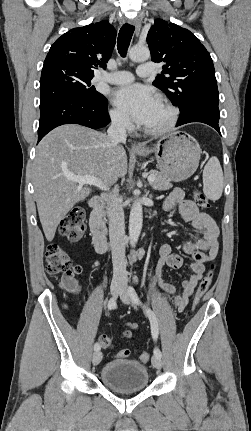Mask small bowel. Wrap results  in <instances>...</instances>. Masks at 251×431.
I'll return each mask as SVG.
<instances>
[{"instance_id":"small-bowel-1","label":"small bowel","mask_w":251,"mask_h":431,"mask_svg":"<svg viewBox=\"0 0 251 431\" xmlns=\"http://www.w3.org/2000/svg\"><path fill=\"white\" fill-rule=\"evenodd\" d=\"M177 208L181 217L192 224L197 230L196 239L193 242H184L183 250L193 259L191 264V275L182 282V293L173 295L171 302L177 306L179 311H183L192 296L197 283L203 276L205 264L214 259L219 248V231L213 218L201 212L196 204L186 199L181 189H174L164 203V210L170 212ZM159 261L156 267V277L159 286L167 293L175 294L176 287L171 283L165 282L161 275L165 266L180 268L182 258L172 251L169 244H163L159 250ZM122 335L125 338L134 337V331L139 328L137 323L126 322Z\"/></svg>"}]
</instances>
